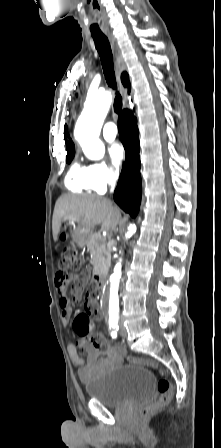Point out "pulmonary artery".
<instances>
[{
    "label": "pulmonary artery",
    "instance_id": "e3ab8cb5",
    "mask_svg": "<svg viewBox=\"0 0 221 448\" xmlns=\"http://www.w3.org/2000/svg\"><path fill=\"white\" fill-rule=\"evenodd\" d=\"M117 136V127L114 123L108 122L103 128V137L107 141H113Z\"/></svg>",
    "mask_w": 221,
    "mask_h": 448
}]
</instances>
